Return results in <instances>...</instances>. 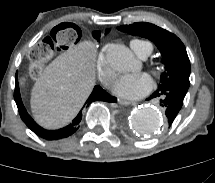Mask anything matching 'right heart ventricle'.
Returning a JSON list of instances; mask_svg holds the SVG:
<instances>
[{
    "label": "right heart ventricle",
    "instance_id": "1",
    "mask_svg": "<svg viewBox=\"0 0 215 183\" xmlns=\"http://www.w3.org/2000/svg\"><path fill=\"white\" fill-rule=\"evenodd\" d=\"M130 46L135 54L141 58H147L153 51V45L149 41L143 39H133L130 42Z\"/></svg>",
    "mask_w": 215,
    "mask_h": 183
}]
</instances>
